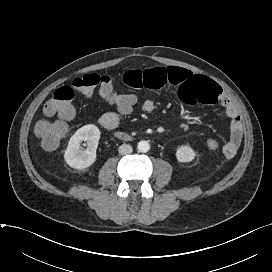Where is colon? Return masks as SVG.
<instances>
[{
    "instance_id": "colon-1",
    "label": "colon",
    "mask_w": 272,
    "mask_h": 272,
    "mask_svg": "<svg viewBox=\"0 0 272 272\" xmlns=\"http://www.w3.org/2000/svg\"><path fill=\"white\" fill-rule=\"evenodd\" d=\"M97 87L101 97L123 113H130L138 101L137 96L132 93L117 92L108 76L85 74L75 78L71 85L59 87L44 106L45 117L39 120L35 126V133L40 138L43 148L55 149L67 135L68 122L74 115L72 102L75 92L89 97ZM53 116H57L59 119L52 120ZM206 145L210 150H217L220 146L214 138L208 139Z\"/></svg>"
}]
</instances>
